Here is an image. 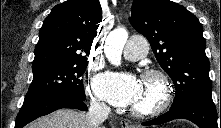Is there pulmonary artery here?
I'll use <instances>...</instances> for the list:
<instances>
[{
	"label": "pulmonary artery",
	"instance_id": "pulmonary-artery-1",
	"mask_svg": "<svg viewBox=\"0 0 221 128\" xmlns=\"http://www.w3.org/2000/svg\"><path fill=\"white\" fill-rule=\"evenodd\" d=\"M148 51V42L142 37H131L124 48L123 57L126 60L133 61L143 55Z\"/></svg>",
	"mask_w": 221,
	"mask_h": 128
}]
</instances>
